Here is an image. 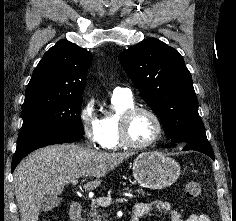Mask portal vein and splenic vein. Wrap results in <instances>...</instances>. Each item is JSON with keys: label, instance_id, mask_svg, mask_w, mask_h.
I'll return each instance as SVG.
<instances>
[{"label": "portal vein and splenic vein", "instance_id": "1", "mask_svg": "<svg viewBox=\"0 0 236 221\" xmlns=\"http://www.w3.org/2000/svg\"><path fill=\"white\" fill-rule=\"evenodd\" d=\"M77 183H78V180H77V179H75V180L72 181V184H73V185H76ZM114 201H115L116 203H117V202H118V203H123V202H127L128 199L125 198V197H121V198L115 199ZM95 202H96L99 206L105 207V206H109V205L113 202V200L111 199V197H98V198H96Z\"/></svg>", "mask_w": 236, "mask_h": 221}]
</instances>
